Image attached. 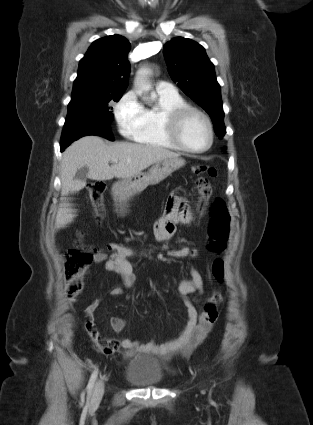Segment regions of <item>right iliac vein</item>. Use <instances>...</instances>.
Returning <instances> with one entry per match:
<instances>
[{
  "label": "right iliac vein",
  "instance_id": "63e3f726",
  "mask_svg": "<svg viewBox=\"0 0 313 425\" xmlns=\"http://www.w3.org/2000/svg\"><path fill=\"white\" fill-rule=\"evenodd\" d=\"M103 394H104V380L101 378L95 384L93 395L91 398V405L92 406L97 405L102 399Z\"/></svg>",
  "mask_w": 313,
  "mask_h": 425
}]
</instances>
